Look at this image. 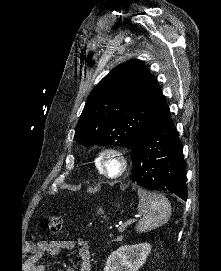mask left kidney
Wrapping results in <instances>:
<instances>
[{
  "label": "left kidney",
  "mask_w": 221,
  "mask_h": 271,
  "mask_svg": "<svg viewBox=\"0 0 221 271\" xmlns=\"http://www.w3.org/2000/svg\"><path fill=\"white\" fill-rule=\"evenodd\" d=\"M151 245L148 241L134 245H120L110 253L104 271H138L145 263Z\"/></svg>",
  "instance_id": "5707ae66"
}]
</instances>
